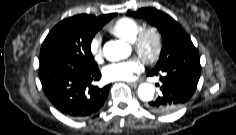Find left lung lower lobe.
<instances>
[{
  "mask_svg": "<svg viewBox=\"0 0 236 135\" xmlns=\"http://www.w3.org/2000/svg\"><path fill=\"white\" fill-rule=\"evenodd\" d=\"M160 77V96L148 103L149 109L160 114L172 113L185 105L193 96L201 74L199 54H193L183 64L152 70L148 76ZM159 86V84H157Z\"/></svg>",
  "mask_w": 236,
  "mask_h": 135,
  "instance_id": "left-lung-lower-lobe-1",
  "label": "left lung lower lobe"
}]
</instances>
